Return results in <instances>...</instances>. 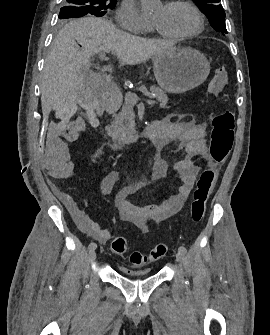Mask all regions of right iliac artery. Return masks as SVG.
<instances>
[{"label": "right iliac artery", "instance_id": "82829eb1", "mask_svg": "<svg viewBox=\"0 0 270 335\" xmlns=\"http://www.w3.org/2000/svg\"><path fill=\"white\" fill-rule=\"evenodd\" d=\"M96 247H97V244L94 243V242H91V243L89 244V246H88V249H89V250H93V249H96Z\"/></svg>", "mask_w": 270, "mask_h": 335}]
</instances>
